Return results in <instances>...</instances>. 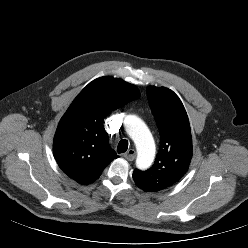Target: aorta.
Returning <instances> with one entry per match:
<instances>
[{
    "label": "aorta",
    "mask_w": 248,
    "mask_h": 248,
    "mask_svg": "<svg viewBox=\"0 0 248 248\" xmlns=\"http://www.w3.org/2000/svg\"><path fill=\"white\" fill-rule=\"evenodd\" d=\"M125 130L134 141L137 150L136 165L140 169L151 166L155 157V142L146 124L137 116L130 115L124 121Z\"/></svg>",
    "instance_id": "obj_1"
}]
</instances>
